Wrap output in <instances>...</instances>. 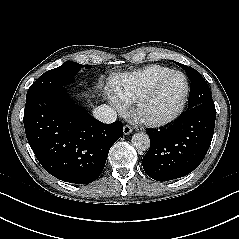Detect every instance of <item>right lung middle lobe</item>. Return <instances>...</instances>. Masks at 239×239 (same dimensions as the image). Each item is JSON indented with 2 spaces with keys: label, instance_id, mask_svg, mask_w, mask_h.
I'll return each instance as SVG.
<instances>
[{
  "label": "right lung middle lobe",
  "instance_id": "right-lung-middle-lobe-1",
  "mask_svg": "<svg viewBox=\"0 0 239 239\" xmlns=\"http://www.w3.org/2000/svg\"><path fill=\"white\" fill-rule=\"evenodd\" d=\"M82 67L91 68L73 61H67L62 66L42 74L29 88L27 95L46 91L54 87L65 86L74 81V76Z\"/></svg>",
  "mask_w": 239,
  "mask_h": 239
}]
</instances>
